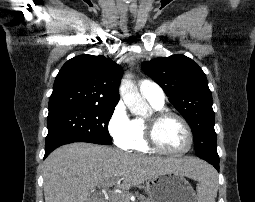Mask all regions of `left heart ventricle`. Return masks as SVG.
<instances>
[{"mask_svg":"<svg viewBox=\"0 0 255 202\" xmlns=\"http://www.w3.org/2000/svg\"><path fill=\"white\" fill-rule=\"evenodd\" d=\"M157 140L168 151H180L187 146L188 137L184 126L174 118L161 122L157 128Z\"/></svg>","mask_w":255,"mask_h":202,"instance_id":"left-heart-ventricle-1","label":"left heart ventricle"}]
</instances>
